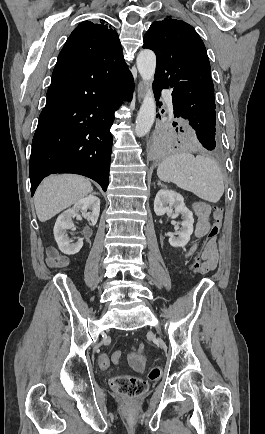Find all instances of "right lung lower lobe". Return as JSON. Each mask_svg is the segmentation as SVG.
<instances>
[{"mask_svg": "<svg viewBox=\"0 0 265 434\" xmlns=\"http://www.w3.org/2000/svg\"><path fill=\"white\" fill-rule=\"evenodd\" d=\"M123 55L104 61H58L39 116L29 163L31 196L52 173H76L106 191L114 111L131 99Z\"/></svg>", "mask_w": 265, "mask_h": 434, "instance_id": "98d812e1", "label": "right lung lower lobe"}]
</instances>
